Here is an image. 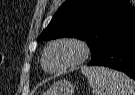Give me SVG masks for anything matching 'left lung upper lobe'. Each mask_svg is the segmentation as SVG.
Masks as SVG:
<instances>
[{
	"label": "left lung upper lobe",
	"mask_w": 135,
	"mask_h": 95,
	"mask_svg": "<svg viewBox=\"0 0 135 95\" xmlns=\"http://www.w3.org/2000/svg\"><path fill=\"white\" fill-rule=\"evenodd\" d=\"M135 22L129 0H67L38 37H75L87 42L91 55L109 34Z\"/></svg>",
	"instance_id": "left-lung-upper-lobe-1"
}]
</instances>
